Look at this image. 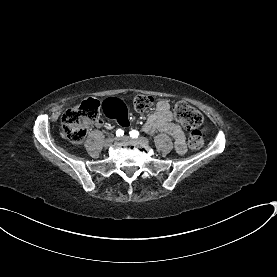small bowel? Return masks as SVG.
Here are the masks:
<instances>
[{"instance_id": "small-bowel-1", "label": "small bowel", "mask_w": 277, "mask_h": 277, "mask_svg": "<svg viewBox=\"0 0 277 277\" xmlns=\"http://www.w3.org/2000/svg\"><path fill=\"white\" fill-rule=\"evenodd\" d=\"M173 118L169 102L165 99L158 100L154 112L147 117L143 130L148 134L160 131L172 135L177 152L184 154L186 151L185 132L178 123L173 121ZM103 124L102 120H98L95 125L101 127Z\"/></svg>"}]
</instances>
